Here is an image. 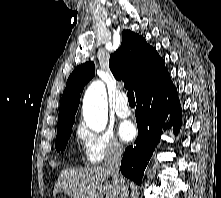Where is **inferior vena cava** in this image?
Instances as JSON below:
<instances>
[{
    "instance_id": "1",
    "label": "inferior vena cava",
    "mask_w": 221,
    "mask_h": 198,
    "mask_svg": "<svg viewBox=\"0 0 221 198\" xmlns=\"http://www.w3.org/2000/svg\"><path fill=\"white\" fill-rule=\"evenodd\" d=\"M123 154V149L120 146H114L108 152L105 161H104V169L110 173L112 178L118 182L120 185L124 187L126 190L125 180L123 179L122 175L119 173L120 162Z\"/></svg>"
}]
</instances>
